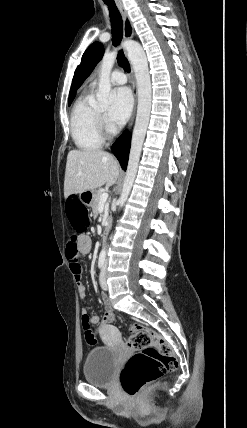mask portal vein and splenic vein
<instances>
[{
    "mask_svg": "<svg viewBox=\"0 0 247 428\" xmlns=\"http://www.w3.org/2000/svg\"><path fill=\"white\" fill-rule=\"evenodd\" d=\"M108 199V193L104 192L100 197V204H104Z\"/></svg>",
    "mask_w": 247,
    "mask_h": 428,
    "instance_id": "obj_1",
    "label": "portal vein and splenic vein"
}]
</instances>
